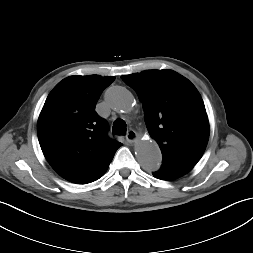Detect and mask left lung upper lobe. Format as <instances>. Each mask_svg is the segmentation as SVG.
I'll return each mask as SVG.
<instances>
[{
	"label": "left lung upper lobe",
	"instance_id": "5c2ea615",
	"mask_svg": "<svg viewBox=\"0 0 253 253\" xmlns=\"http://www.w3.org/2000/svg\"><path fill=\"white\" fill-rule=\"evenodd\" d=\"M143 104L145 123L162 152V162L194 167L209 138V122L195 86L173 70L121 76Z\"/></svg>",
	"mask_w": 253,
	"mask_h": 253
}]
</instances>
